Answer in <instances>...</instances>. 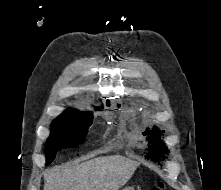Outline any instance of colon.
<instances>
[{
	"instance_id": "colon-1",
	"label": "colon",
	"mask_w": 221,
	"mask_h": 190,
	"mask_svg": "<svg viewBox=\"0 0 221 190\" xmlns=\"http://www.w3.org/2000/svg\"><path fill=\"white\" fill-rule=\"evenodd\" d=\"M149 190H165V185L162 182L151 187Z\"/></svg>"
}]
</instances>
